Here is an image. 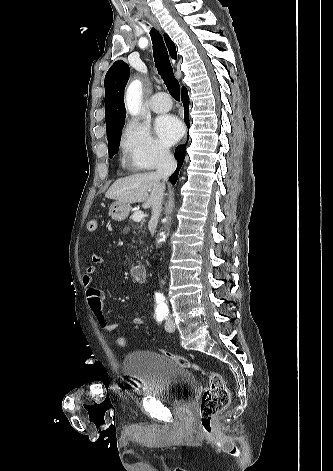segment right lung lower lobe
<instances>
[{
    "label": "right lung lower lobe",
    "instance_id": "98d812e1",
    "mask_svg": "<svg viewBox=\"0 0 333 471\" xmlns=\"http://www.w3.org/2000/svg\"><path fill=\"white\" fill-rule=\"evenodd\" d=\"M182 102L184 105V122L187 126H189V97L188 92L185 87L182 89ZM185 148L186 145H179L175 150V158L178 162V166L176 171L170 176V182L175 184L178 178L179 170L183 164L184 157H185Z\"/></svg>",
    "mask_w": 333,
    "mask_h": 471
}]
</instances>
